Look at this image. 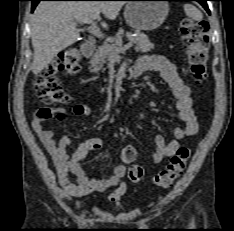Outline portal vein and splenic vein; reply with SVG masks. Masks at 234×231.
I'll list each match as a JSON object with an SVG mask.
<instances>
[{
	"label": "portal vein and splenic vein",
	"instance_id": "18ae733b",
	"mask_svg": "<svg viewBox=\"0 0 234 231\" xmlns=\"http://www.w3.org/2000/svg\"><path fill=\"white\" fill-rule=\"evenodd\" d=\"M87 30L89 33H91L92 35L98 37V38H103L102 32L100 31V29L97 27L96 23L94 21H92L90 23V26L87 27ZM133 46L132 42H128L126 43L124 46L120 47L119 49H117V52L114 54V56H117L118 53L120 52H124L127 49L131 48Z\"/></svg>",
	"mask_w": 234,
	"mask_h": 231
}]
</instances>
